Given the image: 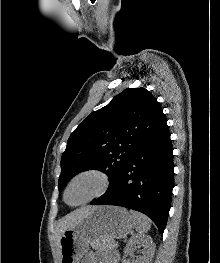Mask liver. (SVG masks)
Masks as SVG:
<instances>
[{
    "instance_id": "1",
    "label": "liver",
    "mask_w": 220,
    "mask_h": 263,
    "mask_svg": "<svg viewBox=\"0 0 220 263\" xmlns=\"http://www.w3.org/2000/svg\"><path fill=\"white\" fill-rule=\"evenodd\" d=\"M95 208L97 207L88 206V207L80 208L66 215L62 219H60L57 223L56 230H55V237H56L57 244L58 245L60 244V238L64 231L77 225Z\"/></svg>"
}]
</instances>
